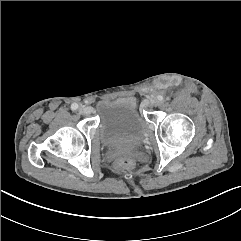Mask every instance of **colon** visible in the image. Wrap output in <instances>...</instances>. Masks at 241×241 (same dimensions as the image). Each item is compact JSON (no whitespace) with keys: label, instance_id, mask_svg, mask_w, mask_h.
I'll use <instances>...</instances> for the list:
<instances>
[{"label":"colon","instance_id":"obj_1","mask_svg":"<svg viewBox=\"0 0 241 241\" xmlns=\"http://www.w3.org/2000/svg\"><path fill=\"white\" fill-rule=\"evenodd\" d=\"M134 165L133 161L131 159H121L118 162V167L121 169H130Z\"/></svg>","mask_w":241,"mask_h":241}]
</instances>
